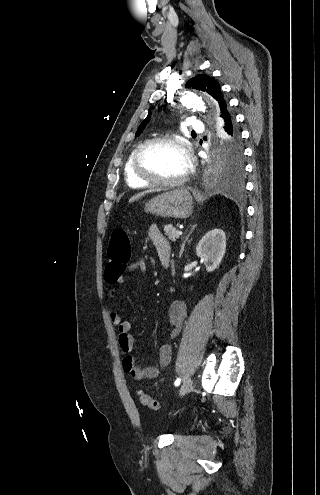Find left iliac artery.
Returning <instances> with one entry per match:
<instances>
[{"label": "left iliac artery", "instance_id": "44dca946", "mask_svg": "<svg viewBox=\"0 0 320 495\" xmlns=\"http://www.w3.org/2000/svg\"><path fill=\"white\" fill-rule=\"evenodd\" d=\"M180 381H181V379H179V378H178V379H176V381H175L174 385H175V386H178V385L180 384Z\"/></svg>", "mask_w": 320, "mask_h": 495}]
</instances>
